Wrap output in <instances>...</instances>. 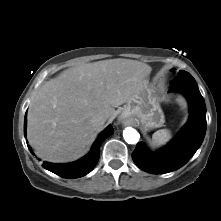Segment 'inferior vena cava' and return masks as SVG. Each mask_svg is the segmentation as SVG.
<instances>
[{"label":"inferior vena cava","instance_id":"1","mask_svg":"<svg viewBox=\"0 0 221 221\" xmlns=\"http://www.w3.org/2000/svg\"><path fill=\"white\" fill-rule=\"evenodd\" d=\"M106 121V118L102 115H96L91 119V124L94 127H100L102 126Z\"/></svg>","mask_w":221,"mask_h":221}]
</instances>
